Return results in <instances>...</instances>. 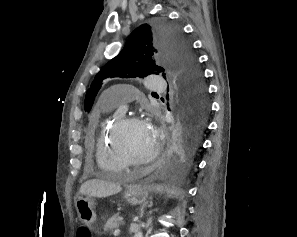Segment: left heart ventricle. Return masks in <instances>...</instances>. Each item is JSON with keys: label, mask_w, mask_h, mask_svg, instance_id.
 I'll use <instances>...</instances> for the list:
<instances>
[{"label": "left heart ventricle", "mask_w": 297, "mask_h": 237, "mask_svg": "<svg viewBox=\"0 0 297 237\" xmlns=\"http://www.w3.org/2000/svg\"><path fill=\"white\" fill-rule=\"evenodd\" d=\"M120 142L125 151L134 159H144L157 144L144 122H135L123 129Z\"/></svg>", "instance_id": "obj_1"}]
</instances>
